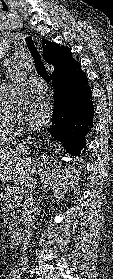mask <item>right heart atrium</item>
<instances>
[{
	"label": "right heart atrium",
	"instance_id": "right-heart-atrium-1",
	"mask_svg": "<svg viewBox=\"0 0 113 279\" xmlns=\"http://www.w3.org/2000/svg\"><path fill=\"white\" fill-rule=\"evenodd\" d=\"M28 132L27 127L22 122H16L14 124V134L17 136L25 135Z\"/></svg>",
	"mask_w": 113,
	"mask_h": 279
}]
</instances>
